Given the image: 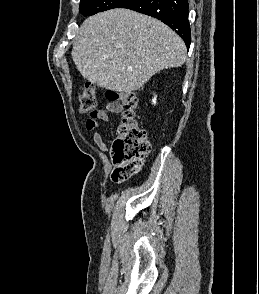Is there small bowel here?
<instances>
[{
	"label": "small bowel",
	"instance_id": "c3829d8e",
	"mask_svg": "<svg viewBox=\"0 0 259 294\" xmlns=\"http://www.w3.org/2000/svg\"><path fill=\"white\" fill-rule=\"evenodd\" d=\"M122 109L123 107L118 101H110L104 108L96 110L87 119L85 127L88 131H93V141L99 149L103 151L107 149V143L98 130L99 124L108 121L110 115L118 114Z\"/></svg>",
	"mask_w": 259,
	"mask_h": 294
}]
</instances>
